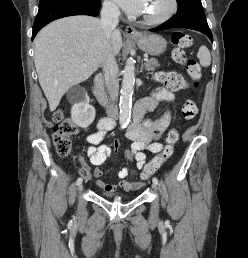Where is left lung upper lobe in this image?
Instances as JSON below:
<instances>
[{
  "label": "left lung upper lobe",
  "instance_id": "1",
  "mask_svg": "<svg viewBox=\"0 0 248 258\" xmlns=\"http://www.w3.org/2000/svg\"><path fill=\"white\" fill-rule=\"evenodd\" d=\"M177 14H188L196 10H203L201 0H177Z\"/></svg>",
  "mask_w": 248,
  "mask_h": 258
}]
</instances>
